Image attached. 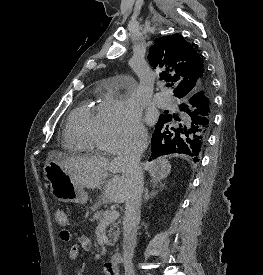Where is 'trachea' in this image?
Segmentation results:
<instances>
[{"mask_svg":"<svg viewBox=\"0 0 263 275\" xmlns=\"http://www.w3.org/2000/svg\"><path fill=\"white\" fill-rule=\"evenodd\" d=\"M167 87H171V84H167Z\"/></svg>","mask_w":263,"mask_h":275,"instance_id":"trachea-1","label":"trachea"}]
</instances>
